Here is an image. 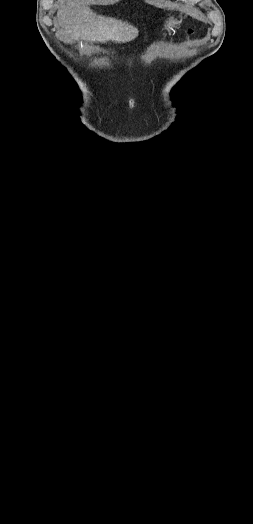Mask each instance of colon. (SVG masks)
<instances>
[{
  "instance_id": "colon-1",
  "label": "colon",
  "mask_w": 253,
  "mask_h": 524,
  "mask_svg": "<svg viewBox=\"0 0 253 524\" xmlns=\"http://www.w3.org/2000/svg\"><path fill=\"white\" fill-rule=\"evenodd\" d=\"M190 33H191V34H193V33H194V31H193V30H191V31H190Z\"/></svg>"
}]
</instances>
